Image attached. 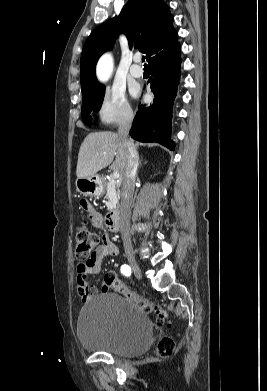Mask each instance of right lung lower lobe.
I'll use <instances>...</instances> for the list:
<instances>
[{
    "label": "right lung lower lobe",
    "mask_w": 267,
    "mask_h": 391,
    "mask_svg": "<svg viewBox=\"0 0 267 391\" xmlns=\"http://www.w3.org/2000/svg\"><path fill=\"white\" fill-rule=\"evenodd\" d=\"M180 45L158 54L149 61L150 88L154 101L149 107L140 106L130 135L141 142H158L174 150L171 141L172 106L180 80Z\"/></svg>",
    "instance_id": "obj_1"
}]
</instances>
